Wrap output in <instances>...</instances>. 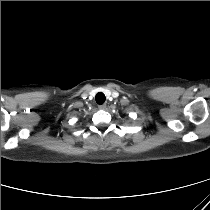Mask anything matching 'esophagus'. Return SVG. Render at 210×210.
I'll list each match as a JSON object with an SVG mask.
<instances>
[{"label":"esophagus","instance_id":"1","mask_svg":"<svg viewBox=\"0 0 210 210\" xmlns=\"http://www.w3.org/2000/svg\"><path fill=\"white\" fill-rule=\"evenodd\" d=\"M98 108L100 110H105L106 109V104L99 105Z\"/></svg>","mask_w":210,"mask_h":210}]
</instances>
